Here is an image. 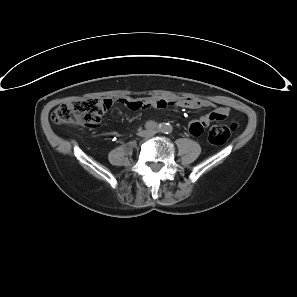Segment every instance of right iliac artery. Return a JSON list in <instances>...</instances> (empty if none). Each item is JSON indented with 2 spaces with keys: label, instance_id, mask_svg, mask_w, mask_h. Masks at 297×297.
<instances>
[{
  "label": "right iliac artery",
  "instance_id": "1",
  "mask_svg": "<svg viewBox=\"0 0 297 297\" xmlns=\"http://www.w3.org/2000/svg\"><path fill=\"white\" fill-rule=\"evenodd\" d=\"M161 126H162V125H161V124H159V128H161Z\"/></svg>",
  "mask_w": 297,
  "mask_h": 297
}]
</instances>
